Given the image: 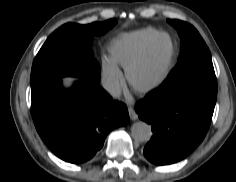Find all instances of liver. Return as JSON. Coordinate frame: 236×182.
<instances>
[{
	"mask_svg": "<svg viewBox=\"0 0 236 182\" xmlns=\"http://www.w3.org/2000/svg\"><path fill=\"white\" fill-rule=\"evenodd\" d=\"M75 79H72V78H68V79H65V83L66 85H70L72 81H74Z\"/></svg>",
	"mask_w": 236,
	"mask_h": 182,
	"instance_id": "6515ba94",
	"label": "liver"
}]
</instances>
